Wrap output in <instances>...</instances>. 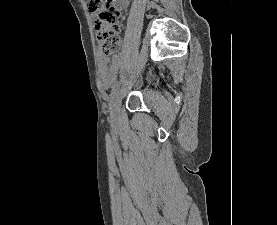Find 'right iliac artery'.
Returning a JSON list of instances; mask_svg holds the SVG:
<instances>
[{"mask_svg":"<svg viewBox=\"0 0 277 225\" xmlns=\"http://www.w3.org/2000/svg\"><path fill=\"white\" fill-rule=\"evenodd\" d=\"M122 88L121 84L118 83L116 84L113 88H112V91H111V94H110V100H109V106H110V109H111V104H112V100L114 98V96L118 93V91Z\"/></svg>","mask_w":277,"mask_h":225,"instance_id":"1","label":"right iliac artery"}]
</instances>
